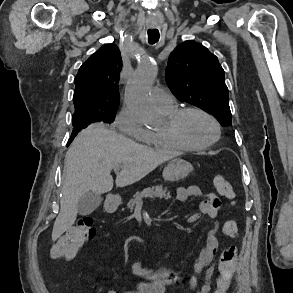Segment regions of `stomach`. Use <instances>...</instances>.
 Wrapping results in <instances>:
<instances>
[{"mask_svg": "<svg viewBox=\"0 0 293 293\" xmlns=\"http://www.w3.org/2000/svg\"><path fill=\"white\" fill-rule=\"evenodd\" d=\"M192 170L193 166L190 162L181 158H175L164 168L163 178L169 182H178L185 179Z\"/></svg>", "mask_w": 293, "mask_h": 293, "instance_id": "stomach-1", "label": "stomach"}]
</instances>
